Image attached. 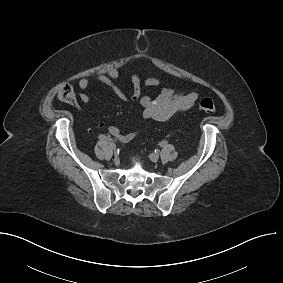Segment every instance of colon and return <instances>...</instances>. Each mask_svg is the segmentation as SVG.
<instances>
[{"mask_svg": "<svg viewBox=\"0 0 283 283\" xmlns=\"http://www.w3.org/2000/svg\"><path fill=\"white\" fill-rule=\"evenodd\" d=\"M58 98L65 103H74L76 101V94L70 84L62 85L57 92ZM199 108L206 112H215L216 105L210 98H204L199 103Z\"/></svg>", "mask_w": 283, "mask_h": 283, "instance_id": "1", "label": "colon"}]
</instances>
